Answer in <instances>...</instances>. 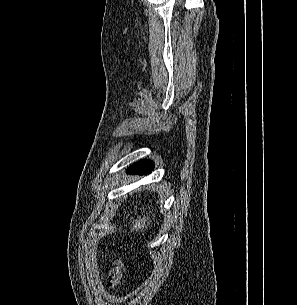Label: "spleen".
<instances>
[{
  "instance_id": "3e777b00",
  "label": "spleen",
  "mask_w": 297,
  "mask_h": 305,
  "mask_svg": "<svg viewBox=\"0 0 297 305\" xmlns=\"http://www.w3.org/2000/svg\"><path fill=\"white\" fill-rule=\"evenodd\" d=\"M148 216L145 218V217H143V218H141V217H138V219H136V220H133V227L131 228V231L133 230L134 231V229H136V231H138L139 229H143L144 227L146 228V223H147V225H149L150 223L148 222ZM134 222H135V224H134Z\"/></svg>"
}]
</instances>
